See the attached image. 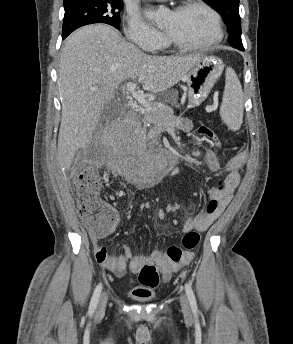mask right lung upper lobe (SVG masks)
<instances>
[{"label": "right lung upper lobe", "instance_id": "right-lung-upper-lobe-1", "mask_svg": "<svg viewBox=\"0 0 293 344\" xmlns=\"http://www.w3.org/2000/svg\"><path fill=\"white\" fill-rule=\"evenodd\" d=\"M78 0H64V4L70 3V2H76Z\"/></svg>", "mask_w": 293, "mask_h": 344}]
</instances>
